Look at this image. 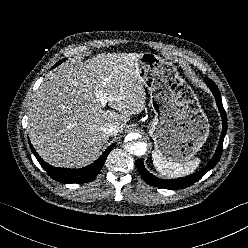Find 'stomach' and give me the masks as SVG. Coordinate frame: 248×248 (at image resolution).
Segmentation results:
<instances>
[{
	"label": "stomach",
	"mask_w": 248,
	"mask_h": 248,
	"mask_svg": "<svg viewBox=\"0 0 248 248\" xmlns=\"http://www.w3.org/2000/svg\"><path fill=\"white\" fill-rule=\"evenodd\" d=\"M136 63L155 113L148 127L153 153L169 162L189 161L205 143L210 127L196 94L162 57L142 53Z\"/></svg>",
	"instance_id": "1"
}]
</instances>
